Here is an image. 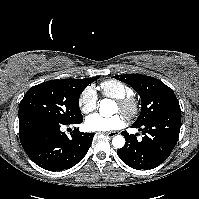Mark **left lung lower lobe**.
I'll list each match as a JSON object with an SVG mask.
<instances>
[{
    "label": "left lung lower lobe",
    "instance_id": "left-lung-lower-lobe-1",
    "mask_svg": "<svg viewBox=\"0 0 199 199\" xmlns=\"http://www.w3.org/2000/svg\"><path fill=\"white\" fill-rule=\"evenodd\" d=\"M142 131V141L136 135L123 131L126 144L117 151L128 166L150 170L163 163L177 143L181 127V111H171L151 119L143 125H133Z\"/></svg>",
    "mask_w": 199,
    "mask_h": 199
}]
</instances>
